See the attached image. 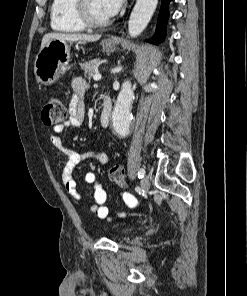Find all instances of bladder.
Wrapping results in <instances>:
<instances>
[{
	"label": "bladder",
	"mask_w": 247,
	"mask_h": 296,
	"mask_svg": "<svg viewBox=\"0 0 247 296\" xmlns=\"http://www.w3.org/2000/svg\"><path fill=\"white\" fill-rule=\"evenodd\" d=\"M131 230V228H124L120 231V233L125 234L128 233Z\"/></svg>",
	"instance_id": "1"
}]
</instances>
